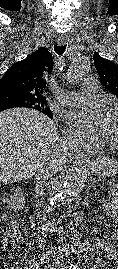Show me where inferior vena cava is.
I'll return each mask as SVG.
<instances>
[{
	"label": "inferior vena cava",
	"mask_w": 118,
	"mask_h": 269,
	"mask_svg": "<svg viewBox=\"0 0 118 269\" xmlns=\"http://www.w3.org/2000/svg\"><path fill=\"white\" fill-rule=\"evenodd\" d=\"M63 144L64 142L62 141L59 144H56L52 155L39 164L35 182L37 190L41 189L46 181L50 179L53 173L62 165L64 158L60 153V149L62 148Z\"/></svg>",
	"instance_id": "1"
}]
</instances>
